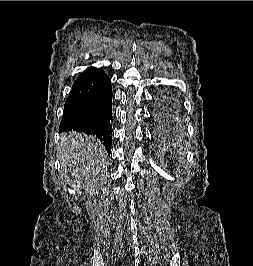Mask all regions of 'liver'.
<instances>
[{
    "instance_id": "1",
    "label": "liver",
    "mask_w": 253,
    "mask_h": 266,
    "mask_svg": "<svg viewBox=\"0 0 253 266\" xmlns=\"http://www.w3.org/2000/svg\"><path fill=\"white\" fill-rule=\"evenodd\" d=\"M61 161L63 165L70 162L71 186L85 194L97 186L98 175L105 164L106 152L100 141L91 135L69 133L61 136Z\"/></svg>"
}]
</instances>
